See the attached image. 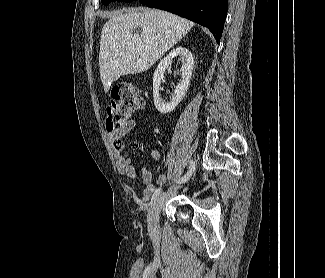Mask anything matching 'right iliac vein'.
<instances>
[{
  "label": "right iliac vein",
  "instance_id": "1",
  "mask_svg": "<svg viewBox=\"0 0 325 278\" xmlns=\"http://www.w3.org/2000/svg\"><path fill=\"white\" fill-rule=\"evenodd\" d=\"M166 193L158 196L151 204L147 213V225L151 234H156L159 231V213L164 204Z\"/></svg>",
  "mask_w": 325,
  "mask_h": 278
}]
</instances>
